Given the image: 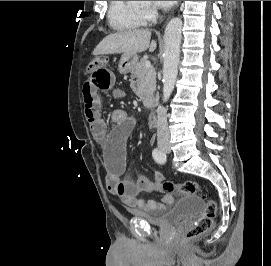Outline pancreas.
I'll return each mask as SVG.
<instances>
[{
    "mask_svg": "<svg viewBox=\"0 0 271 266\" xmlns=\"http://www.w3.org/2000/svg\"><path fill=\"white\" fill-rule=\"evenodd\" d=\"M146 62L147 60L142 58L131 70L132 79H136L131 81V87L140 98L152 95L156 89L155 69L153 67L146 68Z\"/></svg>",
    "mask_w": 271,
    "mask_h": 266,
    "instance_id": "1",
    "label": "pancreas"
}]
</instances>
